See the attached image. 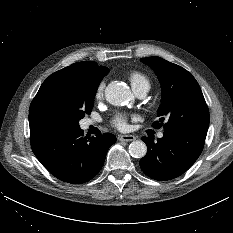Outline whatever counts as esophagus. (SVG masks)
Segmentation results:
<instances>
[{
	"label": "esophagus",
	"mask_w": 233,
	"mask_h": 233,
	"mask_svg": "<svg viewBox=\"0 0 233 233\" xmlns=\"http://www.w3.org/2000/svg\"><path fill=\"white\" fill-rule=\"evenodd\" d=\"M118 140L119 141H126V142L134 141L135 136H133V135H119Z\"/></svg>",
	"instance_id": "1"
}]
</instances>
